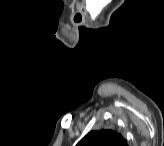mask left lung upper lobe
Listing matches in <instances>:
<instances>
[{
  "mask_svg": "<svg viewBox=\"0 0 164 146\" xmlns=\"http://www.w3.org/2000/svg\"><path fill=\"white\" fill-rule=\"evenodd\" d=\"M77 146H127V141L116 131L101 129L90 131Z\"/></svg>",
  "mask_w": 164,
  "mask_h": 146,
  "instance_id": "left-lung-upper-lobe-1",
  "label": "left lung upper lobe"
}]
</instances>
